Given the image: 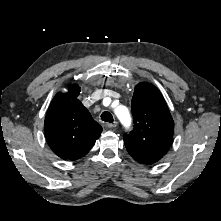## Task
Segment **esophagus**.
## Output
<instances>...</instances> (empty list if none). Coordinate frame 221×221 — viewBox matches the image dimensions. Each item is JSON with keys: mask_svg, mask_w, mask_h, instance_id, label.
<instances>
[{"mask_svg": "<svg viewBox=\"0 0 221 221\" xmlns=\"http://www.w3.org/2000/svg\"><path fill=\"white\" fill-rule=\"evenodd\" d=\"M117 125H118V122H116V121L113 122V123H107V124H106V126H107L108 128H110V129L117 127Z\"/></svg>", "mask_w": 221, "mask_h": 221, "instance_id": "esophagus-1", "label": "esophagus"}]
</instances>
